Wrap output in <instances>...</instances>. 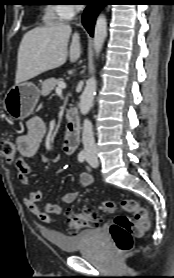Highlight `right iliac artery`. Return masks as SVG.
Listing matches in <instances>:
<instances>
[{"mask_svg":"<svg viewBox=\"0 0 174 278\" xmlns=\"http://www.w3.org/2000/svg\"><path fill=\"white\" fill-rule=\"evenodd\" d=\"M86 159V153L85 151H81L79 154H78V161L79 162H84Z\"/></svg>","mask_w":174,"mask_h":278,"instance_id":"82829eb1","label":"right iliac artery"}]
</instances>
